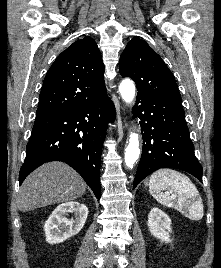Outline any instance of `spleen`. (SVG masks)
<instances>
[{
	"label": "spleen",
	"mask_w": 221,
	"mask_h": 268,
	"mask_svg": "<svg viewBox=\"0 0 221 268\" xmlns=\"http://www.w3.org/2000/svg\"><path fill=\"white\" fill-rule=\"evenodd\" d=\"M165 188L168 191L163 192ZM149 192L160 204L172 207L192 220L203 217V203L196 186L178 171L164 168L153 173Z\"/></svg>",
	"instance_id": "obj_1"
}]
</instances>
